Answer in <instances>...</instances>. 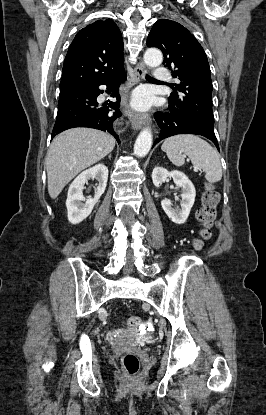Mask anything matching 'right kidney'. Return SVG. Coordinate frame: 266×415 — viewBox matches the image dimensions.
<instances>
[{
    "mask_svg": "<svg viewBox=\"0 0 266 415\" xmlns=\"http://www.w3.org/2000/svg\"><path fill=\"white\" fill-rule=\"evenodd\" d=\"M90 179L97 181V188L94 197L85 199L83 196L84 185ZM107 180L108 168L104 164H97L83 171L75 178L69 187L66 200L68 220L70 223L78 224L91 214L95 204L99 201L100 196L106 189ZM82 201H85V203H82Z\"/></svg>",
    "mask_w": 266,
    "mask_h": 415,
    "instance_id": "ca27d5eb",
    "label": "right kidney"
}]
</instances>
